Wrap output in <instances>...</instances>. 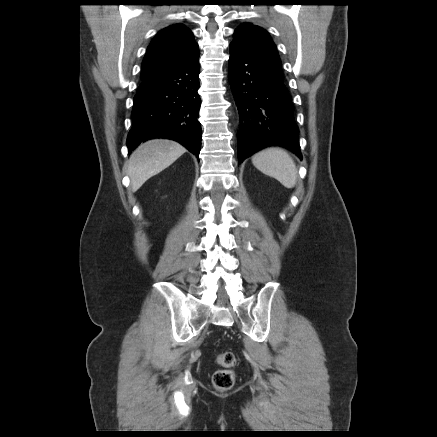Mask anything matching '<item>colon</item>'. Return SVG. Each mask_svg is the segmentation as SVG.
Segmentation results:
<instances>
[{
	"instance_id": "obj_1",
	"label": "colon",
	"mask_w": 437,
	"mask_h": 437,
	"mask_svg": "<svg viewBox=\"0 0 437 437\" xmlns=\"http://www.w3.org/2000/svg\"><path fill=\"white\" fill-rule=\"evenodd\" d=\"M217 363L222 367L213 374L214 387L220 391H226L233 387L235 382L234 368L237 365V357L232 352H224L217 356Z\"/></svg>"
}]
</instances>
